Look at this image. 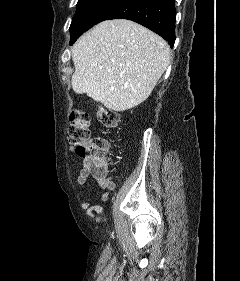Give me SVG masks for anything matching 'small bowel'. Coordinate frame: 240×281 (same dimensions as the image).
Returning a JSON list of instances; mask_svg holds the SVG:
<instances>
[{
    "label": "small bowel",
    "instance_id": "small-bowel-1",
    "mask_svg": "<svg viewBox=\"0 0 240 281\" xmlns=\"http://www.w3.org/2000/svg\"><path fill=\"white\" fill-rule=\"evenodd\" d=\"M89 162L87 159L83 161V168L78 172L77 183L79 185H84L89 178L92 180L105 192L102 195V200L107 201L111 192L115 189V183L108 179L106 174L98 176L89 171ZM81 207L89 212L90 217H94V213L103 214V208L99 205L92 204L91 202H82Z\"/></svg>",
    "mask_w": 240,
    "mask_h": 281
}]
</instances>
